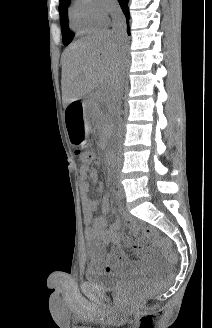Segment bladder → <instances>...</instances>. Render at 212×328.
Masks as SVG:
<instances>
[{
  "label": "bladder",
  "mask_w": 212,
  "mask_h": 328,
  "mask_svg": "<svg viewBox=\"0 0 212 328\" xmlns=\"http://www.w3.org/2000/svg\"><path fill=\"white\" fill-rule=\"evenodd\" d=\"M139 276L140 272L121 276L119 274L101 271L93 266L86 271V278L89 281L99 285L107 291L121 290L123 287L137 280Z\"/></svg>",
  "instance_id": "bladder-1"
}]
</instances>
